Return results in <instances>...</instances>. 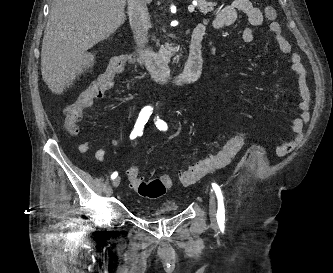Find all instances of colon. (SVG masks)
Wrapping results in <instances>:
<instances>
[{"label": "colon", "mask_w": 333, "mask_h": 273, "mask_svg": "<svg viewBox=\"0 0 333 273\" xmlns=\"http://www.w3.org/2000/svg\"><path fill=\"white\" fill-rule=\"evenodd\" d=\"M264 14L267 20L276 18V10L266 7ZM135 62L133 55H121L114 57L106 71L81 91L77 99L69 104L64 110V127L67 132L74 135L79 130V124L85 109L93 106L94 102L101 99L110 90L116 77L121 74L128 65ZM245 142V134L239 132L230 137L223 147L214 155L198 161L189 169L179 174V183L189 186L199 180L205 174L226 166L238 154ZM129 186L138 195L145 198H159L171 187L172 179L169 175H163L157 179L146 180L142 177L137 166H130L126 171Z\"/></svg>", "instance_id": "obj_1"}]
</instances>
